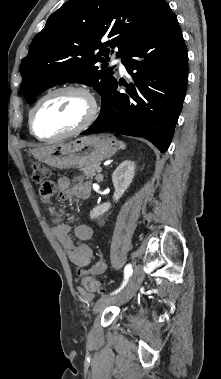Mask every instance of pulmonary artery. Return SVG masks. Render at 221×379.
<instances>
[{
  "label": "pulmonary artery",
  "mask_w": 221,
  "mask_h": 379,
  "mask_svg": "<svg viewBox=\"0 0 221 379\" xmlns=\"http://www.w3.org/2000/svg\"><path fill=\"white\" fill-rule=\"evenodd\" d=\"M113 62H114V64H116L119 67V70L121 73L126 72V68H125L123 59L121 57L115 58Z\"/></svg>",
  "instance_id": "e3ab8cb5"
}]
</instances>
